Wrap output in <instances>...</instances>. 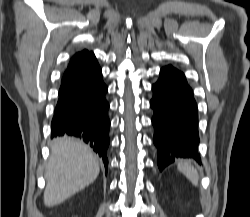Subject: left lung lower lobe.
Wrapping results in <instances>:
<instances>
[{
	"mask_svg": "<svg viewBox=\"0 0 250 217\" xmlns=\"http://www.w3.org/2000/svg\"><path fill=\"white\" fill-rule=\"evenodd\" d=\"M152 90L153 141L158 150L159 169L163 170L177 158H193L201 163L197 151V105L184 74L171 65L166 66Z\"/></svg>",
	"mask_w": 250,
	"mask_h": 217,
	"instance_id": "left-lung-lower-lobe-1",
	"label": "left lung lower lobe"
}]
</instances>
